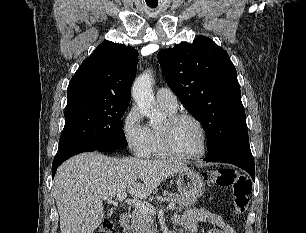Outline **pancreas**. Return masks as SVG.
<instances>
[{
    "mask_svg": "<svg viewBox=\"0 0 306 233\" xmlns=\"http://www.w3.org/2000/svg\"><path fill=\"white\" fill-rule=\"evenodd\" d=\"M163 196L167 201L176 203L179 210L192 206L196 202L193 198H187L175 193L164 192ZM131 230L132 233H157L152 214L135 209L131 216Z\"/></svg>",
    "mask_w": 306,
    "mask_h": 233,
    "instance_id": "obj_1",
    "label": "pancreas"
}]
</instances>
